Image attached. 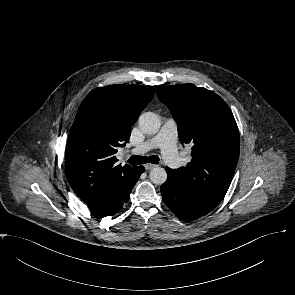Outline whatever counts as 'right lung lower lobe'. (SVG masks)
<instances>
[{
  "mask_svg": "<svg viewBox=\"0 0 295 295\" xmlns=\"http://www.w3.org/2000/svg\"><path fill=\"white\" fill-rule=\"evenodd\" d=\"M144 171L143 166L133 167L125 177L105 189L97 200L88 206L91 213L97 218H103L121 211L129 201L130 193Z\"/></svg>",
  "mask_w": 295,
  "mask_h": 295,
  "instance_id": "98d812e1",
  "label": "right lung lower lobe"
}]
</instances>
